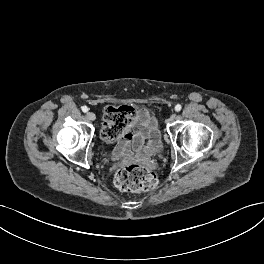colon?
I'll list each match as a JSON object with an SVG mask.
<instances>
[{
	"instance_id": "colon-1",
	"label": "colon",
	"mask_w": 264,
	"mask_h": 264,
	"mask_svg": "<svg viewBox=\"0 0 264 264\" xmlns=\"http://www.w3.org/2000/svg\"><path fill=\"white\" fill-rule=\"evenodd\" d=\"M135 109L131 106H110L105 110L106 125L101 133L105 140L114 141L121 138L130 129ZM114 182L123 192H143L156 187L157 176L151 170L138 164L120 166L114 176Z\"/></svg>"
}]
</instances>
